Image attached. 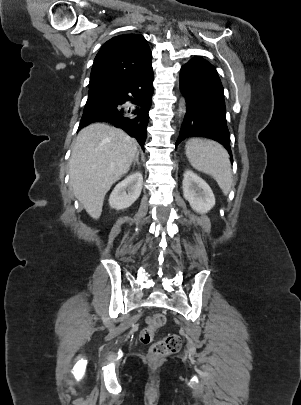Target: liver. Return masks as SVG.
<instances>
[{"label": "liver", "mask_w": 301, "mask_h": 405, "mask_svg": "<svg viewBox=\"0 0 301 405\" xmlns=\"http://www.w3.org/2000/svg\"><path fill=\"white\" fill-rule=\"evenodd\" d=\"M137 145L124 131L104 123L79 132L69 160L70 185L92 218L100 217L106 193L129 171Z\"/></svg>", "instance_id": "6515ba94"}]
</instances>
